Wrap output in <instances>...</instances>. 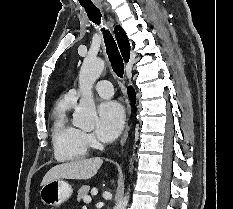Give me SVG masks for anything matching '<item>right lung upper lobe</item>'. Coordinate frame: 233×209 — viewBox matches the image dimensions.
I'll use <instances>...</instances> for the list:
<instances>
[{
  "instance_id": "1",
  "label": "right lung upper lobe",
  "mask_w": 233,
  "mask_h": 209,
  "mask_svg": "<svg viewBox=\"0 0 233 209\" xmlns=\"http://www.w3.org/2000/svg\"><path fill=\"white\" fill-rule=\"evenodd\" d=\"M115 37L119 46V49L121 51V54L123 56V59L128 62L129 61V53H130V44L126 37V34L122 27L116 26L114 28Z\"/></svg>"
}]
</instances>
